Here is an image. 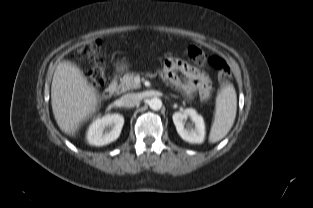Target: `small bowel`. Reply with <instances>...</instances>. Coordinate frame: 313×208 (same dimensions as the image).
<instances>
[{
    "label": "small bowel",
    "instance_id": "obj_1",
    "mask_svg": "<svg viewBox=\"0 0 313 208\" xmlns=\"http://www.w3.org/2000/svg\"><path fill=\"white\" fill-rule=\"evenodd\" d=\"M164 72L167 79L185 95L190 96L196 92L201 98L207 99L211 94V82L208 76L180 59L169 58L165 61ZM176 72L182 73L185 81H181Z\"/></svg>",
    "mask_w": 313,
    "mask_h": 208
}]
</instances>
